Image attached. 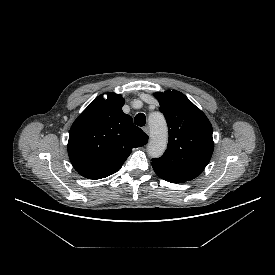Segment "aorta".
I'll return each instance as SVG.
<instances>
[{"instance_id": "1", "label": "aorta", "mask_w": 275, "mask_h": 275, "mask_svg": "<svg viewBox=\"0 0 275 275\" xmlns=\"http://www.w3.org/2000/svg\"><path fill=\"white\" fill-rule=\"evenodd\" d=\"M150 142L147 150L151 157H160L167 146V125L164 116L161 113L149 116Z\"/></svg>"}]
</instances>
